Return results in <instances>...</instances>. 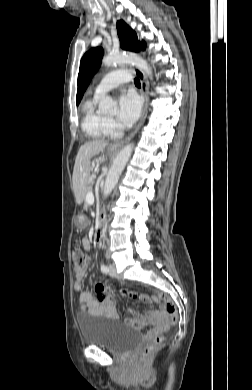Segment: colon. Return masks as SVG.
I'll list each match as a JSON object with an SVG mask.
<instances>
[{
    "label": "colon",
    "mask_w": 252,
    "mask_h": 390,
    "mask_svg": "<svg viewBox=\"0 0 252 390\" xmlns=\"http://www.w3.org/2000/svg\"><path fill=\"white\" fill-rule=\"evenodd\" d=\"M72 263L73 269L76 273L81 272L85 269L88 264V257L85 252L79 248L75 247L72 250ZM121 295L130 296L133 299L137 300H147V296L142 293L132 292L125 289L119 290ZM156 299L164 301V311L167 315L168 324L174 325L178 321V312L174 302L165 294L158 293L155 296ZM165 336L163 334L157 335L151 342L146 344L141 351V356L143 359L149 358L154 352H156L164 343Z\"/></svg>",
    "instance_id": "1"
}]
</instances>
